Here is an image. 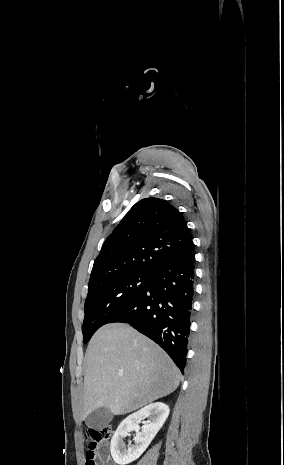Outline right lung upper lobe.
Masks as SVG:
<instances>
[{
	"mask_svg": "<svg viewBox=\"0 0 284 465\" xmlns=\"http://www.w3.org/2000/svg\"><path fill=\"white\" fill-rule=\"evenodd\" d=\"M192 243L190 230L173 205L159 198L142 199L105 240L88 288L127 274L153 275Z\"/></svg>",
	"mask_w": 284,
	"mask_h": 465,
	"instance_id": "right-lung-upper-lobe-1",
	"label": "right lung upper lobe"
}]
</instances>
